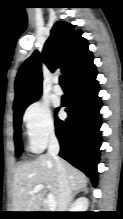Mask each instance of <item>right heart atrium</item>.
Here are the masks:
<instances>
[{
  "mask_svg": "<svg viewBox=\"0 0 123 219\" xmlns=\"http://www.w3.org/2000/svg\"><path fill=\"white\" fill-rule=\"evenodd\" d=\"M26 136L33 152L42 151L55 135V124L47 104L36 101L30 104L24 114Z\"/></svg>",
  "mask_w": 123,
  "mask_h": 219,
  "instance_id": "right-heart-atrium-1",
  "label": "right heart atrium"
}]
</instances>
